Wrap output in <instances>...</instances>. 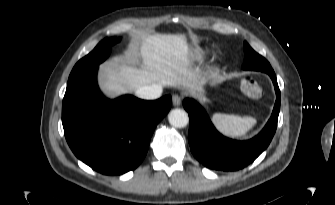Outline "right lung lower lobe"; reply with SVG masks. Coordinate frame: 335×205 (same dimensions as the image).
Wrapping results in <instances>:
<instances>
[{"mask_svg":"<svg viewBox=\"0 0 335 205\" xmlns=\"http://www.w3.org/2000/svg\"><path fill=\"white\" fill-rule=\"evenodd\" d=\"M97 69L94 66L69 78L62 104L64 134L85 164L102 174L119 175L142 162L172 98L146 101L125 95L107 99L97 86Z\"/></svg>","mask_w":335,"mask_h":205,"instance_id":"1","label":"right lung lower lobe"}]
</instances>
